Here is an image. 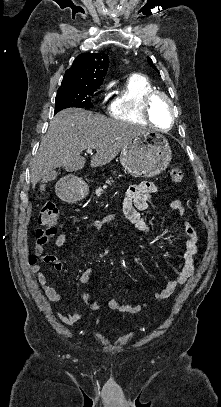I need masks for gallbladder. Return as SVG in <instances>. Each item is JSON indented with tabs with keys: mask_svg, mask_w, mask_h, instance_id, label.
Listing matches in <instances>:
<instances>
[{
	"mask_svg": "<svg viewBox=\"0 0 221 407\" xmlns=\"http://www.w3.org/2000/svg\"><path fill=\"white\" fill-rule=\"evenodd\" d=\"M58 173L55 170H52L50 172H48L47 174H45V176L42 178V185H41V189L44 188L45 183L54 180L57 177Z\"/></svg>",
	"mask_w": 221,
	"mask_h": 407,
	"instance_id": "obj_1",
	"label": "gallbladder"
}]
</instances>
